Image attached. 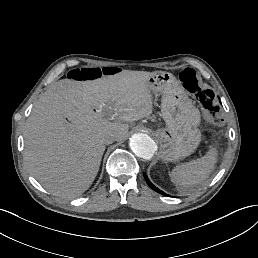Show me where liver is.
Segmentation results:
<instances>
[{"mask_svg":"<svg viewBox=\"0 0 258 258\" xmlns=\"http://www.w3.org/2000/svg\"><path fill=\"white\" fill-rule=\"evenodd\" d=\"M155 72L122 70L95 80L63 79L34 104L24 129V161L50 193L72 199L94 181L105 151L103 136L122 140L129 125L152 113L148 80ZM117 112L110 122L108 107ZM108 116V117H107Z\"/></svg>","mask_w":258,"mask_h":258,"instance_id":"1","label":"liver"}]
</instances>
